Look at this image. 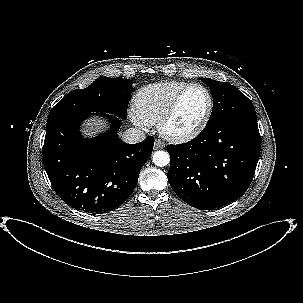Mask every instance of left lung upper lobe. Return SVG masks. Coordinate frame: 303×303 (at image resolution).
Listing matches in <instances>:
<instances>
[{"instance_id": "obj_1", "label": "left lung upper lobe", "mask_w": 303, "mask_h": 303, "mask_svg": "<svg viewBox=\"0 0 303 303\" xmlns=\"http://www.w3.org/2000/svg\"><path fill=\"white\" fill-rule=\"evenodd\" d=\"M201 81L209 86L213 98V110L207 125L255 113L253 103L230 83L209 78H201Z\"/></svg>"}]
</instances>
